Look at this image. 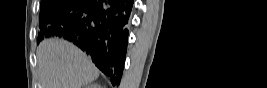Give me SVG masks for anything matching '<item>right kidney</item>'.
<instances>
[{
	"mask_svg": "<svg viewBox=\"0 0 267 88\" xmlns=\"http://www.w3.org/2000/svg\"><path fill=\"white\" fill-rule=\"evenodd\" d=\"M85 88H102L98 83H90Z\"/></svg>",
	"mask_w": 267,
	"mask_h": 88,
	"instance_id": "right-kidney-1",
	"label": "right kidney"
}]
</instances>
